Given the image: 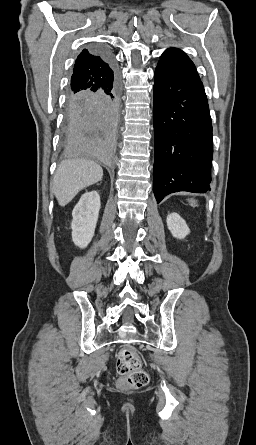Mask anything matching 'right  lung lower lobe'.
Wrapping results in <instances>:
<instances>
[{
  "instance_id": "98d812e1",
  "label": "right lung lower lobe",
  "mask_w": 256,
  "mask_h": 445,
  "mask_svg": "<svg viewBox=\"0 0 256 445\" xmlns=\"http://www.w3.org/2000/svg\"><path fill=\"white\" fill-rule=\"evenodd\" d=\"M101 51L109 61L110 81L95 91L68 96L65 144L75 157L109 165L116 150L120 84L111 54Z\"/></svg>"
}]
</instances>
